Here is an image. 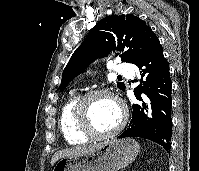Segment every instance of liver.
Wrapping results in <instances>:
<instances>
[{
    "mask_svg": "<svg viewBox=\"0 0 199 171\" xmlns=\"http://www.w3.org/2000/svg\"><path fill=\"white\" fill-rule=\"evenodd\" d=\"M96 146L97 145L88 146V147H73L65 150H60L53 155L51 159V165L53 166L59 159L62 158H69V157L83 155L89 151L94 150Z\"/></svg>",
    "mask_w": 199,
    "mask_h": 171,
    "instance_id": "6515ba94",
    "label": "liver"
}]
</instances>
